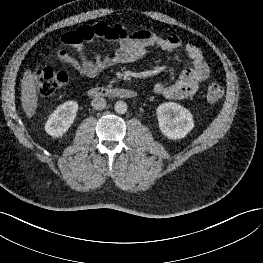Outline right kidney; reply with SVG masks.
<instances>
[{
    "instance_id": "right-kidney-1",
    "label": "right kidney",
    "mask_w": 263,
    "mask_h": 263,
    "mask_svg": "<svg viewBox=\"0 0 263 263\" xmlns=\"http://www.w3.org/2000/svg\"><path fill=\"white\" fill-rule=\"evenodd\" d=\"M78 110L76 101H67L48 117L45 131L48 135L58 138L63 136L73 124Z\"/></svg>"
}]
</instances>
